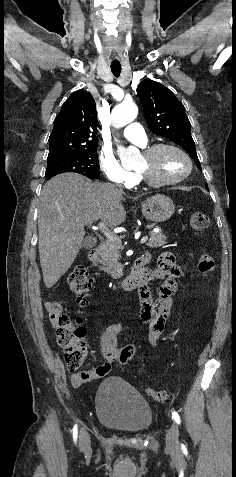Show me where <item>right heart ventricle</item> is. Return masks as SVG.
Segmentation results:
<instances>
[{"label":"right heart ventricle","instance_id":"right-heart-ventricle-1","mask_svg":"<svg viewBox=\"0 0 236 477\" xmlns=\"http://www.w3.org/2000/svg\"><path fill=\"white\" fill-rule=\"evenodd\" d=\"M137 181V177L135 176V182Z\"/></svg>","mask_w":236,"mask_h":477}]
</instances>
